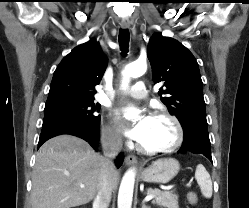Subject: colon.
<instances>
[{"instance_id": "5ec220e1", "label": "colon", "mask_w": 249, "mask_h": 208, "mask_svg": "<svg viewBox=\"0 0 249 208\" xmlns=\"http://www.w3.org/2000/svg\"><path fill=\"white\" fill-rule=\"evenodd\" d=\"M187 199H188L190 204L195 205L198 201V196L195 192L190 191L187 194Z\"/></svg>"}]
</instances>
